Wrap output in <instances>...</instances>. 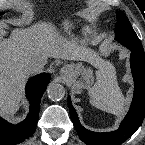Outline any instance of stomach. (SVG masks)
<instances>
[{
  "label": "stomach",
  "mask_w": 145,
  "mask_h": 145,
  "mask_svg": "<svg viewBox=\"0 0 145 145\" xmlns=\"http://www.w3.org/2000/svg\"><path fill=\"white\" fill-rule=\"evenodd\" d=\"M68 72L67 75L71 79H76L77 77L81 76L80 80L78 81L79 84L90 87L93 83V76L92 71L90 69L84 68L81 63L76 64H69L66 66Z\"/></svg>",
  "instance_id": "stomach-1"
}]
</instances>
